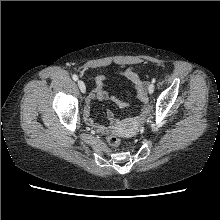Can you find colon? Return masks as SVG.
<instances>
[{"label": "colon", "mask_w": 220, "mask_h": 220, "mask_svg": "<svg viewBox=\"0 0 220 220\" xmlns=\"http://www.w3.org/2000/svg\"><path fill=\"white\" fill-rule=\"evenodd\" d=\"M107 142H108V144H109L110 146H112V147H114V148H117V147H119V145H120V140H119V138H118L117 136H115V135H109V136L107 137Z\"/></svg>", "instance_id": "colon-1"}]
</instances>
